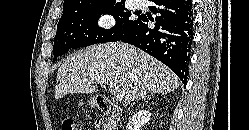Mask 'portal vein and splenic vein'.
Masks as SVG:
<instances>
[{
  "label": "portal vein and splenic vein",
  "instance_id": "1",
  "mask_svg": "<svg viewBox=\"0 0 249 130\" xmlns=\"http://www.w3.org/2000/svg\"><path fill=\"white\" fill-rule=\"evenodd\" d=\"M92 81L95 82V83H98V84L107 83L111 88H114L113 94H114L115 100L120 101V100L123 99L124 91L121 90V89L116 88V83H114L113 81L106 80V79H101V80L100 79H93Z\"/></svg>",
  "mask_w": 249,
  "mask_h": 130
}]
</instances>
